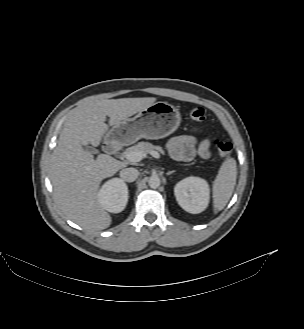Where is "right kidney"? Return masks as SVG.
<instances>
[{
	"label": "right kidney",
	"mask_w": 304,
	"mask_h": 329,
	"mask_svg": "<svg viewBox=\"0 0 304 329\" xmlns=\"http://www.w3.org/2000/svg\"><path fill=\"white\" fill-rule=\"evenodd\" d=\"M98 200L108 212L119 213L124 210L128 202V187L122 179H110L100 188Z\"/></svg>",
	"instance_id": "ca27d5eb"
}]
</instances>
